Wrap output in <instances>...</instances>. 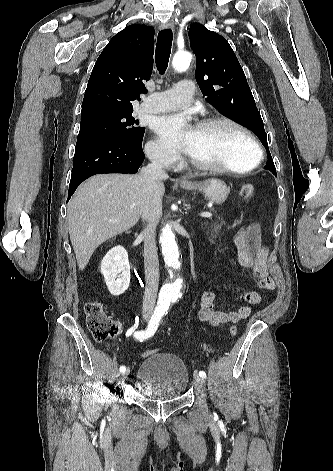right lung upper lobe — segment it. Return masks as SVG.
Returning a JSON list of instances; mask_svg holds the SVG:
<instances>
[{
  "label": "right lung upper lobe",
  "mask_w": 333,
  "mask_h": 471,
  "mask_svg": "<svg viewBox=\"0 0 333 471\" xmlns=\"http://www.w3.org/2000/svg\"><path fill=\"white\" fill-rule=\"evenodd\" d=\"M154 29L133 24L117 33L98 57L85 91L81 118L133 109L153 69Z\"/></svg>",
  "instance_id": "cb5924a9"
}]
</instances>
